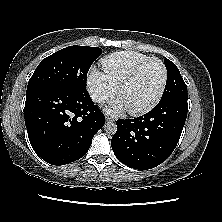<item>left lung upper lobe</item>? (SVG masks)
<instances>
[{
  "label": "left lung upper lobe",
  "instance_id": "left-lung-upper-lobe-1",
  "mask_svg": "<svg viewBox=\"0 0 222 222\" xmlns=\"http://www.w3.org/2000/svg\"><path fill=\"white\" fill-rule=\"evenodd\" d=\"M164 63L167 68V82L161 100L175 95L187 96V86L177 66L168 59Z\"/></svg>",
  "mask_w": 222,
  "mask_h": 222
}]
</instances>
